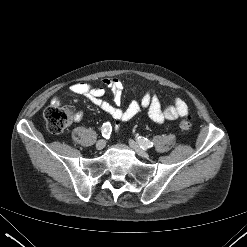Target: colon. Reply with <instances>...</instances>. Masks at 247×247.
I'll list each match as a JSON object with an SVG mask.
<instances>
[{"label":"colon","instance_id":"colon-1","mask_svg":"<svg viewBox=\"0 0 247 247\" xmlns=\"http://www.w3.org/2000/svg\"><path fill=\"white\" fill-rule=\"evenodd\" d=\"M44 118L49 131L58 134L64 131L71 124L73 120V112L67 106L53 104L45 109ZM191 126V122L188 119H183L179 123V128L182 132L189 131Z\"/></svg>","mask_w":247,"mask_h":247}]
</instances>
